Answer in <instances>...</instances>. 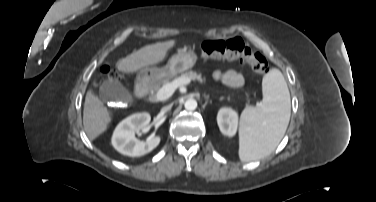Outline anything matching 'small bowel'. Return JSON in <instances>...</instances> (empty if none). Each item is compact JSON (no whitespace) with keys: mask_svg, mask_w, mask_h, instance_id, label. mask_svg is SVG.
I'll return each mask as SVG.
<instances>
[{"mask_svg":"<svg viewBox=\"0 0 376 202\" xmlns=\"http://www.w3.org/2000/svg\"><path fill=\"white\" fill-rule=\"evenodd\" d=\"M215 78L222 81L224 84L233 87L240 86L244 82L241 74L233 70H228L226 72H216Z\"/></svg>","mask_w":376,"mask_h":202,"instance_id":"1","label":"small bowel"}]
</instances>
